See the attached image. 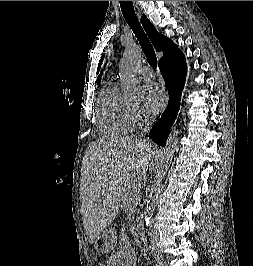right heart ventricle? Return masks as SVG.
Instances as JSON below:
<instances>
[{"label": "right heart ventricle", "instance_id": "obj_1", "mask_svg": "<svg viewBox=\"0 0 253 266\" xmlns=\"http://www.w3.org/2000/svg\"><path fill=\"white\" fill-rule=\"evenodd\" d=\"M97 124L104 136H121L130 132L135 126L131 106L122 98L115 83H108L99 96Z\"/></svg>", "mask_w": 253, "mask_h": 266}]
</instances>
